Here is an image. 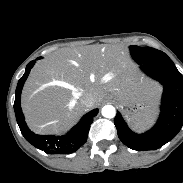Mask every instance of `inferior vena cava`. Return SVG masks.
<instances>
[{"label": "inferior vena cava", "mask_w": 183, "mask_h": 183, "mask_svg": "<svg viewBox=\"0 0 183 183\" xmlns=\"http://www.w3.org/2000/svg\"><path fill=\"white\" fill-rule=\"evenodd\" d=\"M80 102L84 107H91L94 103V95L91 92H86L81 96Z\"/></svg>", "instance_id": "602c4592"}]
</instances>
